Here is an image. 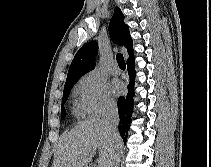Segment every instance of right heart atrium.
<instances>
[{"mask_svg":"<svg viewBox=\"0 0 211 167\" xmlns=\"http://www.w3.org/2000/svg\"><path fill=\"white\" fill-rule=\"evenodd\" d=\"M79 110L89 116H103L113 111L115 103L104 79L96 72L84 74L76 86Z\"/></svg>","mask_w":211,"mask_h":167,"instance_id":"right-heart-atrium-1","label":"right heart atrium"}]
</instances>
